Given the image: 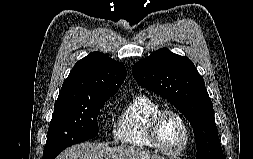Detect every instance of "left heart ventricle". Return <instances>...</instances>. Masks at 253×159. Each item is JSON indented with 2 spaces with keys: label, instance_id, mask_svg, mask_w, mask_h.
<instances>
[{
  "label": "left heart ventricle",
  "instance_id": "b2bd125f",
  "mask_svg": "<svg viewBox=\"0 0 253 159\" xmlns=\"http://www.w3.org/2000/svg\"><path fill=\"white\" fill-rule=\"evenodd\" d=\"M185 139V131L180 120L174 115H165L159 124V141L169 151L179 150Z\"/></svg>",
  "mask_w": 253,
  "mask_h": 159
}]
</instances>
